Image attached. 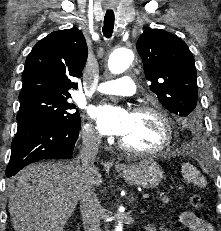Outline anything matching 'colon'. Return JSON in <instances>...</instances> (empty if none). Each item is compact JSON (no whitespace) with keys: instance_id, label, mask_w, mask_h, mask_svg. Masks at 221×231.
Returning <instances> with one entry per match:
<instances>
[{"instance_id":"5ec220e1","label":"colon","mask_w":221,"mask_h":231,"mask_svg":"<svg viewBox=\"0 0 221 231\" xmlns=\"http://www.w3.org/2000/svg\"><path fill=\"white\" fill-rule=\"evenodd\" d=\"M189 202H190L191 206L194 208H202L204 205V200H203L202 196H200L198 194L191 195L189 198Z\"/></svg>"}]
</instances>
